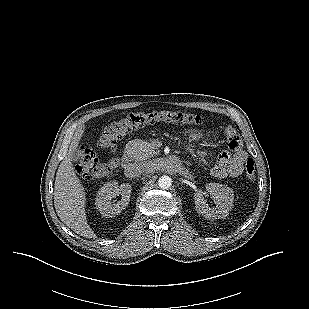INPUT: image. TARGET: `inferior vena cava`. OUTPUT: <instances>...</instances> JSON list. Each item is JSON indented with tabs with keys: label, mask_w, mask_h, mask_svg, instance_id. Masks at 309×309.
<instances>
[{
	"label": "inferior vena cava",
	"mask_w": 309,
	"mask_h": 309,
	"mask_svg": "<svg viewBox=\"0 0 309 309\" xmlns=\"http://www.w3.org/2000/svg\"><path fill=\"white\" fill-rule=\"evenodd\" d=\"M147 171V166L145 164L136 163L132 164L125 170V175L128 178L139 177L142 173Z\"/></svg>",
	"instance_id": "1"
}]
</instances>
